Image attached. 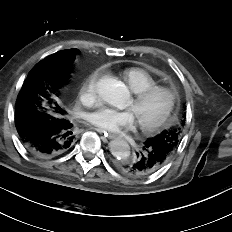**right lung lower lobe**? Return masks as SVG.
Wrapping results in <instances>:
<instances>
[{
  "label": "right lung lower lobe",
  "instance_id": "right-lung-lower-lobe-1",
  "mask_svg": "<svg viewBox=\"0 0 232 232\" xmlns=\"http://www.w3.org/2000/svg\"><path fill=\"white\" fill-rule=\"evenodd\" d=\"M15 112V125L24 147L37 157H54L68 151L73 144V124L66 118L45 123L38 116V103L25 102Z\"/></svg>",
  "mask_w": 232,
  "mask_h": 232
}]
</instances>
